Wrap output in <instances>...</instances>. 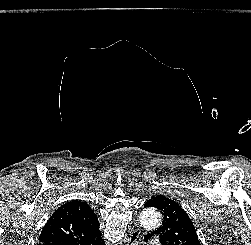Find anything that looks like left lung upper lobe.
Returning a JSON list of instances; mask_svg holds the SVG:
<instances>
[{
  "label": "left lung upper lobe",
  "mask_w": 251,
  "mask_h": 245,
  "mask_svg": "<svg viewBox=\"0 0 251 245\" xmlns=\"http://www.w3.org/2000/svg\"><path fill=\"white\" fill-rule=\"evenodd\" d=\"M144 207H155L163 215L162 226L151 232L167 245H199L195 227L182 207L163 195L149 199Z\"/></svg>",
  "instance_id": "1"
}]
</instances>
